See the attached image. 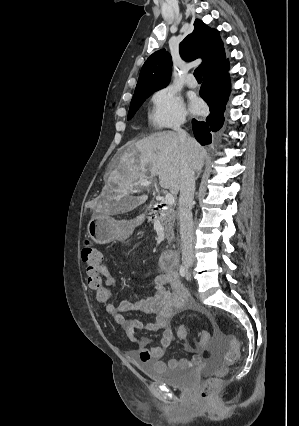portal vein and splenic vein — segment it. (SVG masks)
<instances>
[{
    "label": "portal vein and splenic vein",
    "mask_w": 299,
    "mask_h": 426,
    "mask_svg": "<svg viewBox=\"0 0 299 426\" xmlns=\"http://www.w3.org/2000/svg\"><path fill=\"white\" fill-rule=\"evenodd\" d=\"M151 184H152V181H143L140 184V187H147V186H149ZM174 202H175L174 196L171 193H166L165 194V198H164V204H166L168 206H171V205L174 204Z\"/></svg>",
    "instance_id": "18ae733b"
}]
</instances>
